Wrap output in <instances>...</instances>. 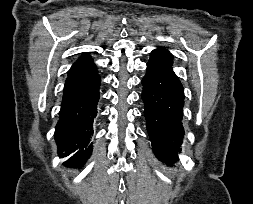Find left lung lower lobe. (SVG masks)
Listing matches in <instances>:
<instances>
[{"label":"left lung lower lobe","instance_id":"left-lung-lower-lobe-1","mask_svg":"<svg viewBox=\"0 0 253 204\" xmlns=\"http://www.w3.org/2000/svg\"><path fill=\"white\" fill-rule=\"evenodd\" d=\"M172 59V54L163 48L151 52L141 95L153 151L168 164L178 160L184 137V89L172 70Z\"/></svg>","mask_w":253,"mask_h":204}]
</instances>
